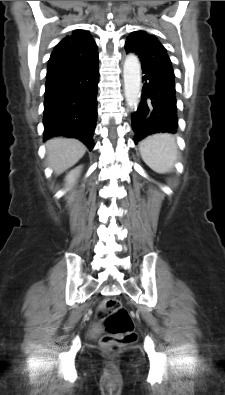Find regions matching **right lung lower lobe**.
<instances>
[{
  "label": "right lung lower lobe",
  "instance_id": "1",
  "mask_svg": "<svg viewBox=\"0 0 225 395\" xmlns=\"http://www.w3.org/2000/svg\"><path fill=\"white\" fill-rule=\"evenodd\" d=\"M99 58L91 65L47 78L44 101V140L66 136L90 150L97 119Z\"/></svg>",
  "mask_w": 225,
  "mask_h": 395
}]
</instances>
